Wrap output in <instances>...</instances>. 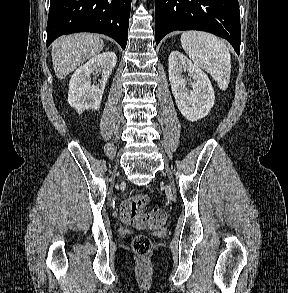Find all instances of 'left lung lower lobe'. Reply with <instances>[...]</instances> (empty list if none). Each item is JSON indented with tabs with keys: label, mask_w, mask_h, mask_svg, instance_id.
Segmentation results:
<instances>
[{
	"label": "left lung lower lobe",
	"mask_w": 288,
	"mask_h": 293,
	"mask_svg": "<svg viewBox=\"0 0 288 293\" xmlns=\"http://www.w3.org/2000/svg\"><path fill=\"white\" fill-rule=\"evenodd\" d=\"M175 30H201L225 38L240 53L238 0H156V44Z\"/></svg>",
	"instance_id": "obj_1"
}]
</instances>
